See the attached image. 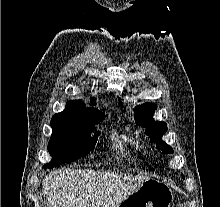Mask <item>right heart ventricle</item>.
Returning <instances> with one entry per match:
<instances>
[{
    "label": "right heart ventricle",
    "instance_id": "1",
    "mask_svg": "<svg viewBox=\"0 0 220 207\" xmlns=\"http://www.w3.org/2000/svg\"><path fill=\"white\" fill-rule=\"evenodd\" d=\"M115 148L118 151V153H120L122 155H126L125 148L121 142H117L115 145Z\"/></svg>",
    "mask_w": 220,
    "mask_h": 207
}]
</instances>
